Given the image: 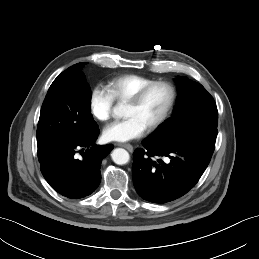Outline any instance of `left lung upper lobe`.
<instances>
[{
  "label": "left lung upper lobe",
  "mask_w": 259,
  "mask_h": 259,
  "mask_svg": "<svg viewBox=\"0 0 259 259\" xmlns=\"http://www.w3.org/2000/svg\"><path fill=\"white\" fill-rule=\"evenodd\" d=\"M176 81L179 91L173 116L148 138L171 145L195 133L216 136L218 111L212 96L197 82L185 77Z\"/></svg>",
  "instance_id": "1"
}]
</instances>
